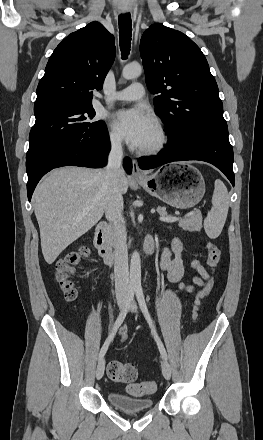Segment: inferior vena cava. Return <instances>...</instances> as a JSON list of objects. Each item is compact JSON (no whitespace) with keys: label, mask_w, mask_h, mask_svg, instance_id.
<instances>
[{"label":"inferior vena cava","mask_w":263,"mask_h":440,"mask_svg":"<svg viewBox=\"0 0 263 440\" xmlns=\"http://www.w3.org/2000/svg\"><path fill=\"white\" fill-rule=\"evenodd\" d=\"M123 149L119 137H111V150L105 172V216L112 223V241L114 246V279L116 298L124 300L129 292V268L127 250V232L123 224V198L119 179L124 174L121 168Z\"/></svg>","instance_id":"602c4592"}]
</instances>
